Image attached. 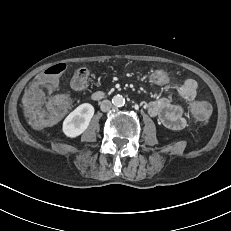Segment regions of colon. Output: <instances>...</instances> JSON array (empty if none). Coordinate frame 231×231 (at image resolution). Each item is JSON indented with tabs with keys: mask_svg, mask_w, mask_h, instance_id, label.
<instances>
[{
	"mask_svg": "<svg viewBox=\"0 0 231 231\" xmlns=\"http://www.w3.org/2000/svg\"><path fill=\"white\" fill-rule=\"evenodd\" d=\"M66 68L65 64L59 63L49 67L45 74H40L35 79V84L25 94L23 106L25 113L31 123L36 126L43 125L46 121L54 122L61 119L70 109L71 98L68 95L60 94L52 100L47 118L40 109L43 92L48 91L56 85V78ZM89 71L86 68L78 69L72 79V87L76 90L83 89L89 80ZM142 81L155 86H170L173 78L167 75L162 69L144 67L140 71ZM212 105L207 100H196L191 104V112L199 121H207L211 115Z\"/></svg>",
	"mask_w": 231,
	"mask_h": 231,
	"instance_id": "5ec220e1",
	"label": "colon"
}]
</instances>
